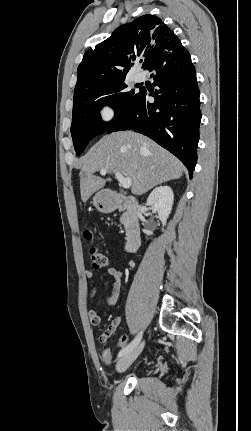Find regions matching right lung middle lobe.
Wrapping results in <instances>:
<instances>
[{"label": "right lung middle lobe", "mask_w": 251, "mask_h": 431, "mask_svg": "<svg viewBox=\"0 0 251 431\" xmlns=\"http://www.w3.org/2000/svg\"><path fill=\"white\" fill-rule=\"evenodd\" d=\"M125 78L104 87L83 92L74 96L71 134L76 154L79 156L89 141L103 134L110 123L100 118V110L109 105L117 117L137 94L127 91Z\"/></svg>", "instance_id": "1"}]
</instances>
